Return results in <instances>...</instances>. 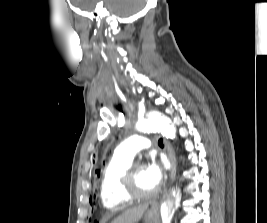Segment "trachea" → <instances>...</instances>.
<instances>
[{"instance_id": "obj_1", "label": "trachea", "mask_w": 267, "mask_h": 223, "mask_svg": "<svg viewBox=\"0 0 267 223\" xmlns=\"http://www.w3.org/2000/svg\"><path fill=\"white\" fill-rule=\"evenodd\" d=\"M158 144H159V146H163V139H162V138H160V139L158 140Z\"/></svg>"}]
</instances>
